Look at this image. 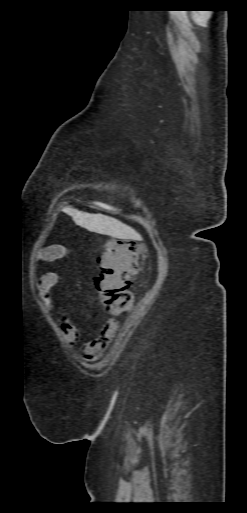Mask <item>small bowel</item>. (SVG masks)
<instances>
[{
  "label": "small bowel",
  "instance_id": "obj_1",
  "mask_svg": "<svg viewBox=\"0 0 247 513\" xmlns=\"http://www.w3.org/2000/svg\"><path fill=\"white\" fill-rule=\"evenodd\" d=\"M63 249L57 246L49 247L39 254L37 262H49L58 260L63 256ZM60 283L59 275L55 272H47L42 274L37 281L38 297L47 311H52V290ZM64 339L67 343H75L79 337L77 327L70 321L69 317L63 315L61 320ZM118 331V323L115 320H109L103 327L100 336L88 342L84 346V355L91 359L102 354L109 344L114 340Z\"/></svg>",
  "mask_w": 247,
  "mask_h": 513
}]
</instances>
